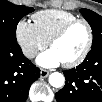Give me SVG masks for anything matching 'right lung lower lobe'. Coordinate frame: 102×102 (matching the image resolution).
I'll list each match as a JSON object with an SVG mask.
<instances>
[{
  "instance_id": "right-lung-lower-lobe-1",
  "label": "right lung lower lobe",
  "mask_w": 102,
  "mask_h": 102,
  "mask_svg": "<svg viewBox=\"0 0 102 102\" xmlns=\"http://www.w3.org/2000/svg\"><path fill=\"white\" fill-rule=\"evenodd\" d=\"M40 70L27 59L17 43L0 41V100L24 102Z\"/></svg>"
}]
</instances>
